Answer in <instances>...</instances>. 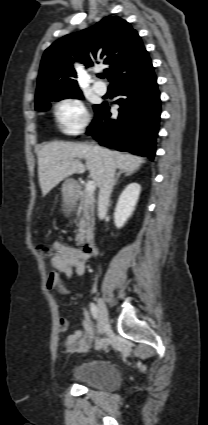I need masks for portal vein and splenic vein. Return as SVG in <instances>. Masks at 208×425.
Masks as SVG:
<instances>
[{
    "label": "portal vein and splenic vein",
    "instance_id": "obj_1",
    "mask_svg": "<svg viewBox=\"0 0 208 425\" xmlns=\"http://www.w3.org/2000/svg\"><path fill=\"white\" fill-rule=\"evenodd\" d=\"M95 188H96V185H95V182H94L93 180H89V181L86 183V191H87L88 193L93 194V193H94V191H95Z\"/></svg>",
    "mask_w": 208,
    "mask_h": 425
}]
</instances>
